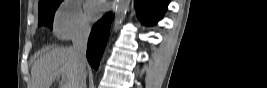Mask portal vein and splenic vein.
<instances>
[{
  "mask_svg": "<svg viewBox=\"0 0 267 88\" xmlns=\"http://www.w3.org/2000/svg\"><path fill=\"white\" fill-rule=\"evenodd\" d=\"M61 78H62V81L65 80V76L64 75H62ZM64 88H67V86H64Z\"/></svg>",
  "mask_w": 267,
  "mask_h": 88,
  "instance_id": "18ae733b",
  "label": "portal vein and splenic vein"
}]
</instances>
